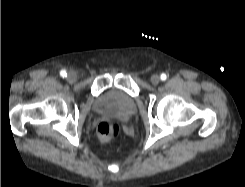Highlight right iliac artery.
<instances>
[{"mask_svg":"<svg viewBox=\"0 0 245 187\" xmlns=\"http://www.w3.org/2000/svg\"><path fill=\"white\" fill-rule=\"evenodd\" d=\"M60 75H61L62 77H66V76H67V73H66L65 70H61Z\"/></svg>","mask_w":245,"mask_h":187,"instance_id":"82829eb1","label":"right iliac artery"}]
</instances>
